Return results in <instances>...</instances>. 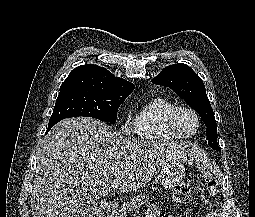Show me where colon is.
<instances>
[{"instance_id":"1","label":"colon","mask_w":255,"mask_h":217,"mask_svg":"<svg viewBox=\"0 0 255 217\" xmlns=\"http://www.w3.org/2000/svg\"><path fill=\"white\" fill-rule=\"evenodd\" d=\"M209 193L214 196L217 193L216 183L210 181L208 183ZM172 200L175 203L183 204L191 200V190L187 185H180L172 191Z\"/></svg>"}]
</instances>
